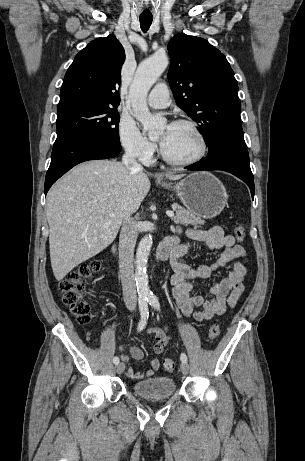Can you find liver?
<instances>
[{
	"instance_id": "obj_1",
	"label": "liver",
	"mask_w": 305,
	"mask_h": 461,
	"mask_svg": "<svg viewBox=\"0 0 305 461\" xmlns=\"http://www.w3.org/2000/svg\"><path fill=\"white\" fill-rule=\"evenodd\" d=\"M165 176L169 180L183 177ZM150 185L145 172H132L123 163L109 160L84 162L53 185L46 215L57 281L114 241L124 217L139 209Z\"/></svg>"
}]
</instances>
